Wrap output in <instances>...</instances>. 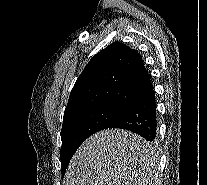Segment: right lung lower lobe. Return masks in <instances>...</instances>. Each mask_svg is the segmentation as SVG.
<instances>
[{
  "mask_svg": "<svg viewBox=\"0 0 207 185\" xmlns=\"http://www.w3.org/2000/svg\"><path fill=\"white\" fill-rule=\"evenodd\" d=\"M107 128L126 129L155 143L157 139V122L153 86L133 98Z\"/></svg>",
  "mask_w": 207,
  "mask_h": 185,
  "instance_id": "98d812e1",
  "label": "right lung lower lobe"
}]
</instances>
